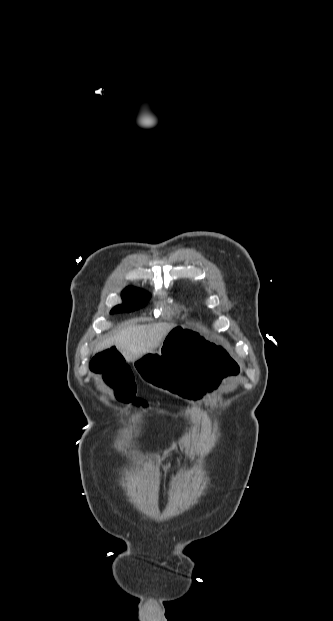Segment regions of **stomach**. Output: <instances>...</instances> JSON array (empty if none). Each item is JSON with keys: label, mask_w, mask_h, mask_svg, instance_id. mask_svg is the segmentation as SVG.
I'll return each instance as SVG.
<instances>
[{"label": "stomach", "mask_w": 333, "mask_h": 621, "mask_svg": "<svg viewBox=\"0 0 333 621\" xmlns=\"http://www.w3.org/2000/svg\"><path fill=\"white\" fill-rule=\"evenodd\" d=\"M133 366L149 390L196 401L221 389L240 369L218 339L186 325L173 328L159 350H145Z\"/></svg>", "instance_id": "obj_1"}]
</instances>
